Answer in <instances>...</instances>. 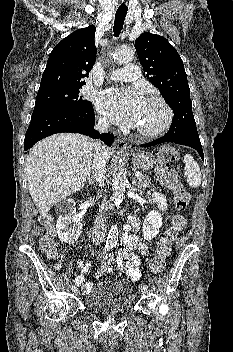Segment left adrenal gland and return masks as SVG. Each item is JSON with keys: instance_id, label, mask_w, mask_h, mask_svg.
<instances>
[{"instance_id": "1", "label": "left adrenal gland", "mask_w": 233, "mask_h": 352, "mask_svg": "<svg viewBox=\"0 0 233 352\" xmlns=\"http://www.w3.org/2000/svg\"><path fill=\"white\" fill-rule=\"evenodd\" d=\"M132 185H133V187H139V184L137 183L134 175H132Z\"/></svg>"}]
</instances>
